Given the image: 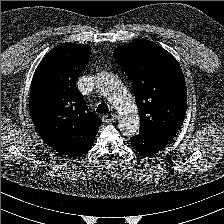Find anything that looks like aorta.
Here are the masks:
<instances>
[{
	"label": "aorta",
	"instance_id": "aorta-1",
	"mask_svg": "<svg viewBox=\"0 0 224 224\" xmlns=\"http://www.w3.org/2000/svg\"><path fill=\"white\" fill-rule=\"evenodd\" d=\"M98 88L114 106L118 112V126L125 136H133L138 133L140 119L137 106L132 95L122 85L116 76L110 73H103L96 81Z\"/></svg>",
	"mask_w": 224,
	"mask_h": 224
}]
</instances>
